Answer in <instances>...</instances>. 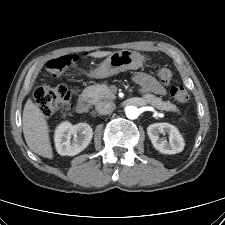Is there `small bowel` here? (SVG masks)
Segmentation results:
<instances>
[{
	"label": "small bowel",
	"instance_id": "c3829d8e",
	"mask_svg": "<svg viewBox=\"0 0 225 225\" xmlns=\"http://www.w3.org/2000/svg\"><path fill=\"white\" fill-rule=\"evenodd\" d=\"M134 81L148 92H152L158 95H164L166 92L164 86L158 80L145 72H138L134 76ZM71 91L74 94H77L78 87L72 86Z\"/></svg>",
	"mask_w": 225,
	"mask_h": 225
}]
</instances>
